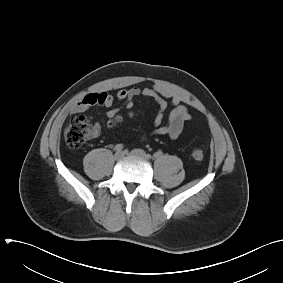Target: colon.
I'll list each match as a JSON object with an SVG mask.
<instances>
[{
    "label": "colon",
    "mask_w": 283,
    "mask_h": 283,
    "mask_svg": "<svg viewBox=\"0 0 283 283\" xmlns=\"http://www.w3.org/2000/svg\"><path fill=\"white\" fill-rule=\"evenodd\" d=\"M121 121L122 116L117 114L111 120V124L115 126ZM93 130L94 127L91 121L85 115L73 117L64 131V139L67 146L71 149L79 148L93 134ZM190 156L196 162H201L204 158L203 151L199 148H194Z\"/></svg>",
    "instance_id": "5ec220e1"
}]
</instances>
